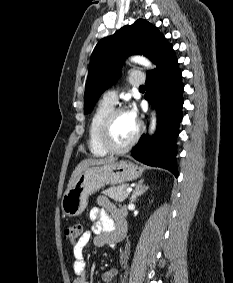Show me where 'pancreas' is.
Wrapping results in <instances>:
<instances>
[{"mask_svg": "<svg viewBox=\"0 0 233 283\" xmlns=\"http://www.w3.org/2000/svg\"><path fill=\"white\" fill-rule=\"evenodd\" d=\"M126 189H127L126 184H122L119 186H112L102 191V194L110 197L111 199L117 202H123L128 198V195H129V193L126 192Z\"/></svg>", "mask_w": 233, "mask_h": 283, "instance_id": "pancreas-1", "label": "pancreas"}]
</instances>
